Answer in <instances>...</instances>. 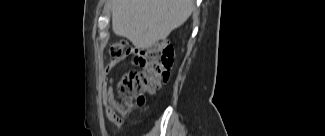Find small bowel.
Segmentation results:
<instances>
[{
  "label": "small bowel",
  "mask_w": 325,
  "mask_h": 136,
  "mask_svg": "<svg viewBox=\"0 0 325 136\" xmlns=\"http://www.w3.org/2000/svg\"><path fill=\"white\" fill-rule=\"evenodd\" d=\"M126 55H133L135 60V68H128L127 73H122L119 75L120 79H117L118 87L117 91H111L115 89V84L110 83V74L115 68L117 63H108L104 69V80H103V102L106 109V114L109 120L116 124L120 125L124 121L128 110H120L114 100V98H121V93H125L126 88H131L133 86L132 80L134 75L139 73L138 69H145L147 58L145 55H148V48H139L138 44H129L126 48Z\"/></svg>",
  "instance_id": "1"
}]
</instances>
